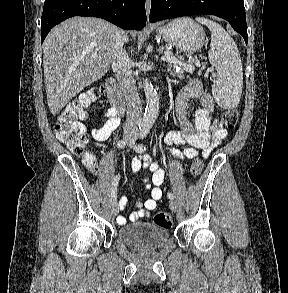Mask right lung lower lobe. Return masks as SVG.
<instances>
[{"label":"right lung lower lobe","instance_id":"right-lung-lower-lobe-1","mask_svg":"<svg viewBox=\"0 0 288 293\" xmlns=\"http://www.w3.org/2000/svg\"><path fill=\"white\" fill-rule=\"evenodd\" d=\"M73 16L99 17L126 30H141L146 24L145 0H45L41 43L51 28Z\"/></svg>","mask_w":288,"mask_h":293}]
</instances>
